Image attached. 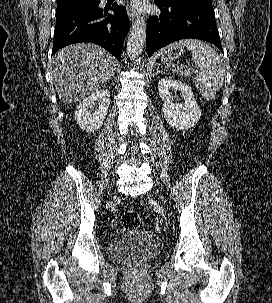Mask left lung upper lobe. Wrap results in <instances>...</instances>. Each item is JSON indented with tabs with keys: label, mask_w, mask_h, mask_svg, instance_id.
<instances>
[{
	"label": "left lung upper lobe",
	"mask_w": 272,
	"mask_h": 303,
	"mask_svg": "<svg viewBox=\"0 0 272 303\" xmlns=\"http://www.w3.org/2000/svg\"><path fill=\"white\" fill-rule=\"evenodd\" d=\"M165 6L196 5L212 7V0H157Z\"/></svg>",
	"instance_id": "left-lung-upper-lobe-1"
}]
</instances>
